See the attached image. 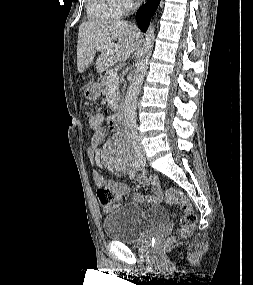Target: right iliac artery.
Wrapping results in <instances>:
<instances>
[{
    "mask_svg": "<svg viewBox=\"0 0 253 285\" xmlns=\"http://www.w3.org/2000/svg\"><path fill=\"white\" fill-rule=\"evenodd\" d=\"M138 165L137 162L135 163L134 167L130 170L129 172V177L130 179H133L136 173V169H137Z\"/></svg>",
    "mask_w": 253,
    "mask_h": 285,
    "instance_id": "82829eb1",
    "label": "right iliac artery"
}]
</instances>
